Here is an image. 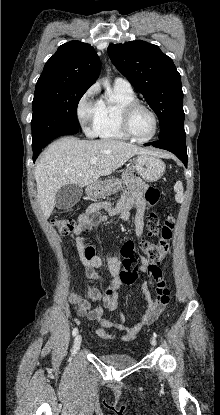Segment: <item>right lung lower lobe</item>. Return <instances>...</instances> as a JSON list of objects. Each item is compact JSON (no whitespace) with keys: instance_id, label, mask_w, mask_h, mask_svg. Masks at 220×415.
<instances>
[{"instance_id":"98d812e1","label":"right lung lower lobe","mask_w":220,"mask_h":415,"mask_svg":"<svg viewBox=\"0 0 220 415\" xmlns=\"http://www.w3.org/2000/svg\"><path fill=\"white\" fill-rule=\"evenodd\" d=\"M42 148L33 150V161L35 162L36 158L38 157L39 153L41 152Z\"/></svg>"}]
</instances>
